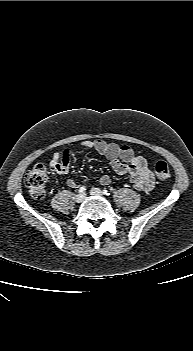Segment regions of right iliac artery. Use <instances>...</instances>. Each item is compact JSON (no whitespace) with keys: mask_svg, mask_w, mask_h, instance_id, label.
I'll return each mask as SVG.
<instances>
[{"mask_svg":"<svg viewBox=\"0 0 193 351\" xmlns=\"http://www.w3.org/2000/svg\"><path fill=\"white\" fill-rule=\"evenodd\" d=\"M85 191H86V187L85 186L80 187V189H79V193L80 194H85Z\"/></svg>","mask_w":193,"mask_h":351,"instance_id":"obj_1","label":"right iliac artery"}]
</instances>
